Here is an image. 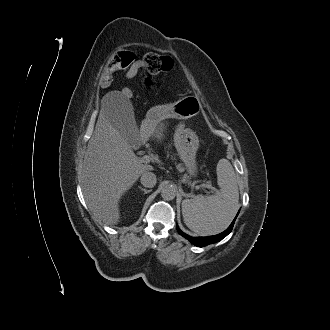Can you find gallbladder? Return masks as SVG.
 Listing matches in <instances>:
<instances>
[{"mask_svg": "<svg viewBox=\"0 0 330 330\" xmlns=\"http://www.w3.org/2000/svg\"><path fill=\"white\" fill-rule=\"evenodd\" d=\"M114 117V126L129 142H132L136 137V121L131 103L122 102L115 106Z\"/></svg>", "mask_w": 330, "mask_h": 330, "instance_id": "1", "label": "gallbladder"}]
</instances>
